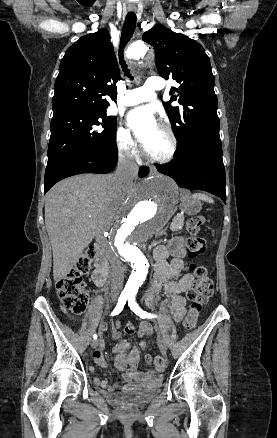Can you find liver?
Listing matches in <instances>:
<instances>
[{"label": "liver", "mask_w": 277, "mask_h": 438, "mask_svg": "<svg viewBox=\"0 0 277 438\" xmlns=\"http://www.w3.org/2000/svg\"><path fill=\"white\" fill-rule=\"evenodd\" d=\"M113 174H80L53 186L45 196V226L53 252L55 282L66 278L94 240L110 230L127 205Z\"/></svg>", "instance_id": "6515ba94"}]
</instances>
